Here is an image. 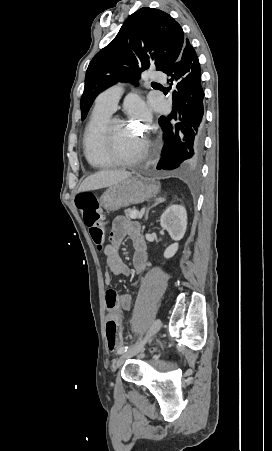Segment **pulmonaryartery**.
Returning <instances> with one entry per match:
<instances>
[{
    "label": "pulmonary artery",
    "instance_id": "pulmonary-artery-1",
    "mask_svg": "<svg viewBox=\"0 0 272 451\" xmlns=\"http://www.w3.org/2000/svg\"><path fill=\"white\" fill-rule=\"evenodd\" d=\"M148 71L152 74V76H150L149 72L145 73V76L147 77L145 81L149 85L154 84V82H161L165 79L164 71L162 69H155L153 66H150ZM161 84L164 86L166 83L163 81ZM122 92L123 86L121 83L114 85L97 97L96 106L114 111L121 98Z\"/></svg>",
    "mask_w": 272,
    "mask_h": 451
}]
</instances>
